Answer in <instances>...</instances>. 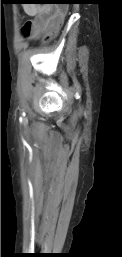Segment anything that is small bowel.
Here are the masks:
<instances>
[{
    "label": "small bowel",
    "instance_id": "c3829d8e",
    "mask_svg": "<svg viewBox=\"0 0 122 257\" xmlns=\"http://www.w3.org/2000/svg\"><path fill=\"white\" fill-rule=\"evenodd\" d=\"M24 10L33 17L32 20L25 24L27 26V35L32 39L48 34L50 27L54 26L55 21H57V11H59L48 5L33 4L25 5Z\"/></svg>",
    "mask_w": 122,
    "mask_h": 257
}]
</instances>
